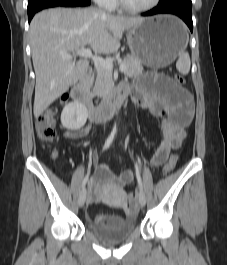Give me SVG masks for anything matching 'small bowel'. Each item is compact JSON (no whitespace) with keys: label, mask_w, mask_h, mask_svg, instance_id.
Masks as SVG:
<instances>
[{"label":"small bowel","mask_w":227,"mask_h":265,"mask_svg":"<svg viewBox=\"0 0 227 265\" xmlns=\"http://www.w3.org/2000/svg\"><path fill=\"white\" fill-rule=\"evenodd\" d=\"M132 87L122 84L120 87L132 94L133 102L148 110L152 115L162 118L161 129L163 140L151 158V166L159 167L168 158L172 149L178 148L186 136V127L193 117V101L189 92L176 84L170 77L154 73L143 72ZM91 131L88 124L77 130L67 131V139H80ZM134 174L127 169L116 175L108 166L100 165L90 179L89 203H96L102 189L116 188L122 190L133 181ZM121 216L98 215L95 221L101 224H113L121 221Z\"/></svg>","instance_id":"obj_1"}]
</instances>
